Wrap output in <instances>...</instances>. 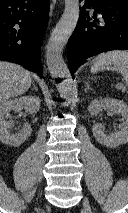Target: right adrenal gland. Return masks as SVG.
Segmentation results:
<instances>
[{
    "instance_id": "obj_1",
    "label": "right adrenal gland",
    "mask_w": 128,
    "mask_h": 213,
    "mask_svg": "<svg viewBox=\"0 0 128 213\" xmlns=\"http://www.w3.org/2000/svg\"><path fill=\"white\" fill-rule=\"evenodd\" d=\"M32 90H36V91H38V88L36 87V85L33 83V88H32Z\"/></svg>"
}]
</instances>
